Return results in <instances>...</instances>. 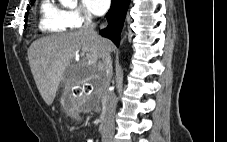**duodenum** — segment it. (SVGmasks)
<instances>
[{"mask_svg": "<svg viewBox=\"0 0 227 142\" xmlns=\"http://www.w3.org/2000/svg\"><path fill=\"white\" fill-rule=\"evenodd\" d=\"M102 118H103V116H102ZM102 128V125H100V129Z\"/></svg>", "mask_w": 227, "mask_h": 142, "instance_id": "duodenum-1", "label": "duodenum"}]
</instances>
